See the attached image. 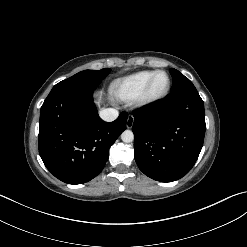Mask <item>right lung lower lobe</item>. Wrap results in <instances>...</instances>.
I'll return each mask as SVG.
<instances>
[{
    "instance_id": "1",
    "label": "right lung lower lobe",
    "mask_w": 247,
    "mask_h": 247,
    "mask_svg": "<svg viewBox=\"0 0 247 247\" xmlns=\"http://www.w3.org/2000/svg\"><path fill=\"white\" fill-rule=\"evenodd\" d=\"M93 90L59 89L45 99L39 122V154L46 168L68 184L96 177L109 157V148L125 130L128 114L113 122L100 119Z\"/></svg>"
}]
</instances>
